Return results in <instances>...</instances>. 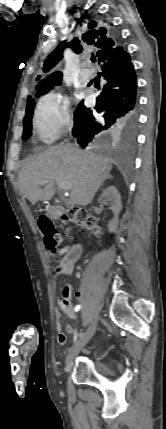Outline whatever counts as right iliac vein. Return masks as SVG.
Listing matches in <instances>:
<instances>
[{"instance_id":"1","label":"right iliac vein","mask_w":166,"mask_h":429,"mask_svg":"<svg viewBox=\"0 0 166 429\" xmlns=\"http://www.w3.org/2000/svg\"><path fill=\"white\" fill-rule=\"evenodd\" d=\"M98 320H99V317L96 316L94 321L92 322V324L86 330V332L82 336H80L78 341L69 350L67 357H66V360H65L66 365H69L73 361V359L77 356V354L81 351V349L92 338V336L94 335V333L96 331Z\"/></svg>"}]
</instances>
